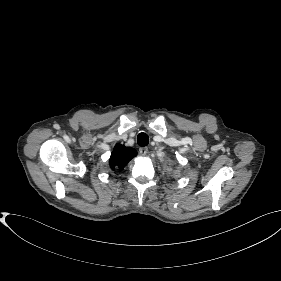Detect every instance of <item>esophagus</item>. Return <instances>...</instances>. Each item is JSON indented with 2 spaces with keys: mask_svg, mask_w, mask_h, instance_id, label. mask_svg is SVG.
I'll list each match as a JSON object with an SVG mask.
<instances>
[{
  "mask_svg": "<svg viewBox=\"0 0 281 281\" xmlns=\"http://www.w3.org/2000/svg\"><path fill=\"white\" fill-rule=\"evenodd\" d=\"M139 153H140V155L145 156L148 153V148L147 147H140Z\"/></svg>",
  "mask_w": 281,
  "mask_h": 281,
  "instance_id": "obj_1",
  "label": "esophagus"
}]
</instances>
